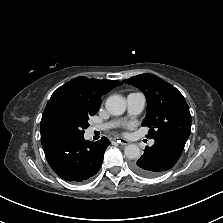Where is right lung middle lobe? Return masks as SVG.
Listing matches in <instances>:
<instances>
[{
	"label": "right lung middle lobe",
	"instance_id": "right-lung-middle-lobe-1",
	"mask_svg": "<svg viewBox=\"0 0 223 223\" xmlns=\"http://www.w3.org/2000/svg\"><path fill=\"white\" fill-rule=\"evenodd\" d=\"M94 114L95 112L78 107L63 108L53 120L55 133L59 138L83 136L84 129L89 126V117Z\"/></svg>",
	"mask_w": 223,
	"mask_h": 223
}]
</instances>
